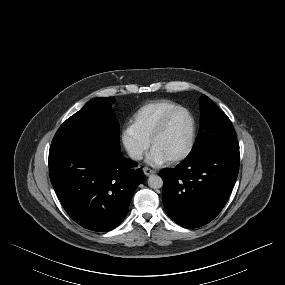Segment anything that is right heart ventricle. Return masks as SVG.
Instances as JSON below:
<instances>
[{"instance_id": "e07e8e85", "label": "right heart ventricle", "mask_w": 285, "mask_h": 285, "mask_svg": "<svg viewBox=\"0 0 285 285\" xmlns=\"http://www.w3.org/2000/svg\"><path fill=\"white\" fill-rule=\"evenodd\" d=\"M177 106H179L177 103L167 99L147 102L133 114L131 124L142 137L149 141L161 118Z\"/></svg>"}]
</instances>
